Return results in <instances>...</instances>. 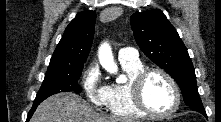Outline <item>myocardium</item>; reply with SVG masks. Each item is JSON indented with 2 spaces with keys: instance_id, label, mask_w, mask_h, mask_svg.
Listing matches in <instances>:
<instances>
[{
  "instance_id": "f54148a6",
  "label": "myocardium",
  "mask_w": 221,
  "mask_h": 122,
  "mask_svg": "<svg viewBox=\"0 0 221 122\" xmlns=\"http://www.w3.org/2000/svg\"><path fill=\"white\" fill-rule=\"evenodd\" d=\"M151 74H159L163 76L172 87V90L174 93V105L167 112H163V113L155 112L152 109H150L149 106L145 102L144 95H143V87L147 78ZM130 92H131L132 100L135 106L145 115L154 117V118H166V117L173 115L179 109L180 104H181V94H180V90H179L177 82L168 72H166L165 70L161 68L152 67V68H145L139 71L132 78L130 82Z\"/></svg>"
}]
</instances>
